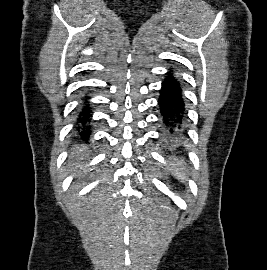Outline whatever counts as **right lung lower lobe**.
Wrapping results in <instances>:
<instances>
[{
  "label": "right lung lower lobe",
  "mask_w": 267,
  "mask_h": 270,
  "mask_svg": "<svg viewBox=\"0 0 267 270\" xmlns=\"http://www.w3.org/2000/svg\"><path fill=\"white\" fill-rule=\"evenodd\" d=\"M89 97L83 98L84 103L78 108V118L75 126L76 132L85 141H88L91 134V126L89 124L91 115V108L89 107L88 101Z\"/></svg>",
  "instance_id": "1"
}]
</instances>
